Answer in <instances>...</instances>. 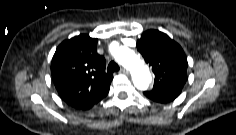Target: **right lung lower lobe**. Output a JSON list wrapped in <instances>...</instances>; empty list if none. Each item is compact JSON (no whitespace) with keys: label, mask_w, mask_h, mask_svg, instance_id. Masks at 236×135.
Wrapping results in <instances>:
<instances>
[{"label":"right lung lower lobe","mask_w":236,"mask_h":135,"mask_svg":"<svg viewBox=\"0 0 236 135\" xmlns=\"http://www.w3.org/2000/svg\"><path fill=\"white\" fill-rule=\"evenodd\" d=\"M109 91V90H108ZM108 91L105 92L102 96H100L99 98L95 99V100H92L88 103H85V104H81V105H77V106H73L77 109H81V110H87V109H90L92 106H94L95 104H97L99 101H101L104 97L107 96L108 94Z\"/></svg>","instance_id":"obj_1"}]
</instances>
